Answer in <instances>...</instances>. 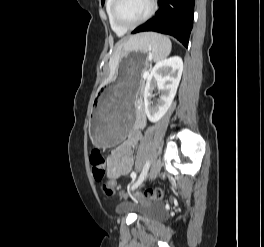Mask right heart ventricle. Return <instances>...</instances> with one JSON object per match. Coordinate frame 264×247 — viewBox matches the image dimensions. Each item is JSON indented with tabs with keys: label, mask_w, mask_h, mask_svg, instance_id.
I'll use <instances>...</instances> for the list:
<instances>
[{
	"label": "right heart ventricle",
	"mask_w": 264,
	"mask_h": 247,
	"mask_svg": "<svg viewBox=\"0 0 264 247\" xmlns=\"http://www.w3.org/2000/svg\"><path fill=\"white\" fill-rule=\"evenodd\" d=\"M114 0H106L105 2V10L108 18V22L112 30L118 34V35H123L127 32V30H124L123 28L119 27L118 25L115 24L113 18H112V5H113Z\"/></svg>",
	"instance_id": "obj_1"
}]
</instances>
